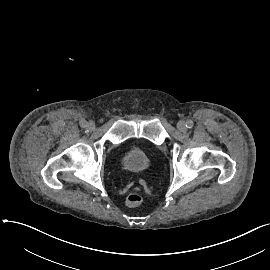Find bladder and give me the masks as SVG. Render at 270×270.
<instances>
[{
    "mask_svg": "<svg viewBox=\"0 0 270 270\" xmlns=\"http://www.w3.org/2000/svg\"><path fill=\"white\" fill-rule=\"evenodd\" d=\"M123 153V165L132 172L144 170L148 161L154 156L152 148L144 147L137 140H132L126 144Z\"/></svg>",
    "mask_w": 270,
    "mask_h": 270,
    "instance_id": "bladder-1",
    "label": "bladder"
}]
</instances>
